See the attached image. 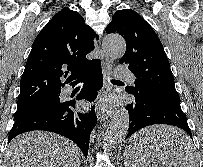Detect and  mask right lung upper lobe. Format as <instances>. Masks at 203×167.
Returning <instances> with one entry per match:
<instances>
[{
    "instance_id": "cb5924a9",
    "label": "right lung upper lobe",
    "mask_w": 203,
    "mask_h": 167,
    "mask_svg": "<svg viewBox=\"0 0 203 167\" xmlns=\"http://www.w3.org/2000/svg\"><path fill=\"white\" fill-rule=\"evenodd\" d=\"M95 32L76 11L64 8L40 31L33 42L20 81L18 106L59 94L61 87L78 79L99 60H88ZM67 78L65 83L61 78Z\"/></svg>"
}]
</instances>
